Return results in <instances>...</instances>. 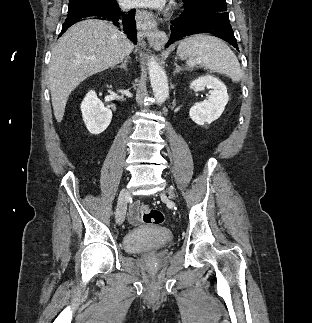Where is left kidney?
Segmentation results:
<instances>
[{"label":"left kidney","mask_w":312,"mask_h":323,"mask_svg":"<svg viewBox=\"0 0 312 323\" xmlns=\"http://www.w3.org/2000/svg\"><path fill=\"white\" fill-rule=\"evenodd\" d=\"M190 88L194 92H200V90H205V88L210 90V96H208L205 102L192 106L189 112L191 120L198 124V126L211 124L214 120H218L229 100L225 84L214 78V76H201V78H197V80L190 84Z\"/></svg>","instance_id":"left-kidney-1"}]
</instances>
